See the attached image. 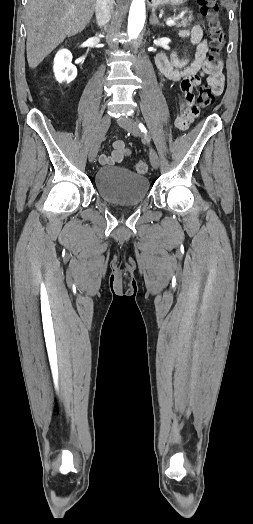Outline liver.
Here are the masks:
<instances>
[{
    "label": "liver",
    "mask_w": 253,
    "mask_h": 524,
    "mask_svg": "<svg viewBox=\"0 0 253 524\" xmlns=\"http://www.w3.org/2000/svg\"><path fill=\"white\" fill-rule=\"evenodd\" d=\"M97 0H28L27 61L35 69L66 37L83 31Z\"/></svg>",
    "instance_id": "obj_1"
}]
</instances>
